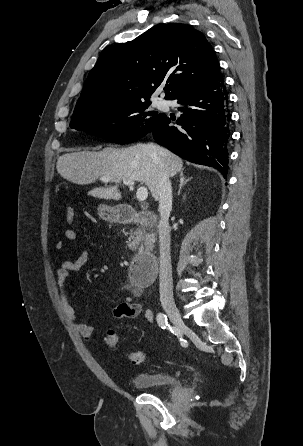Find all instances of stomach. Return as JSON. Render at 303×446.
I'll list each match as a JSON object with an SVG mask.
<instances>
[{"mask_svg": "<svg viewBox=\"0 0 303 446\" xmlns=\"http://www.w3.org/2000/svg\"><path fill=\"white\" fill-rule=\"evenodd\" d=\"M99 216L106 221H114L118 218V212L115 208L101 204L98 206Z\"/></svg>", "mask_w": 303, "mask_h": 446, "instance_id": "obj_1", "label": "stomach"}]
</instances>
